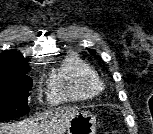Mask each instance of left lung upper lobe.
Masks as SVG:
<instances>
[{
	"label": "left lung upper lobe",
	"mask_w": 153,
	"mask_h": 134,
	"mask_svg": "<svg viewBox=\"0 0 153 134\" xmlns=\"http://www.w3.org/2000/svg\"><path fill=\"white\" fill-rule=\"evenodd\" d=\"M90 54L95 55V51L94 50H89Z\"/></svg>",
	"instance_id": "5c2ea615"
}]
</instances>
